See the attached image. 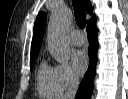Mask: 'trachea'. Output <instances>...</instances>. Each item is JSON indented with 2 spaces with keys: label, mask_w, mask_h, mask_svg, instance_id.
Here are the masks:
<instances>
[{
  "label": "trachea",
  "mask_w": 128,
  "mask_h": 99,
  "mask_svg": "<svg viewBox=\"0 0 128 99\" xmlns=\"http://www.w3.org/2000/svg\"><path fill=\"white\" fill-rule=\"evenodd\" d=\"M73 9L75 14V20L77 25L80 28H84L86 26V13L82 0H73Z\"/></svg>",
  "instance_id": "1"
}]
</instances>
